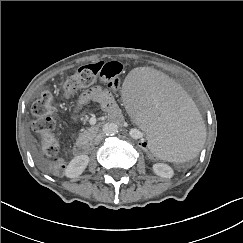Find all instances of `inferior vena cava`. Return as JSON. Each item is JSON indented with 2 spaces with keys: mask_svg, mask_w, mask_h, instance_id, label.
Returning a JSON list of instances; mask_svg holds the SVG:
<instances>
[{
  "mask_svg": "<svg viewBox=\"0 0 243 243\" xmlns=\"http://www.w3.org/2000/svg\"><path fill=\"white\" fill-rule=\"evenodd\" d=\"M104 137V133H99L93 140V144H99Z\"/></svg>",
  "mask_w": 243,
  "mask_h": 243,
  "instance_id": "602c4592",
  "label": "inferior vena cava"
}]
</instances>
